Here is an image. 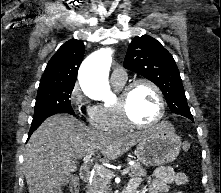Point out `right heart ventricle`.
Wrapping results in <instances>:
<instances>
[{
  "instance_id": "obj_1",
  "label": "right heart ventricle",
  "mask_w": 221,
  "mask_h": 193,
  "mask_svg": "<svg viewBox=\"0 0 221 193\" xmlns=\"http://www.w3.org/2000/svg\"><path fill=\"white\" fill-rule=\"evenodd\" d=\"M124 84L125 82H112V85L117 92H120ZM89 119L95 128L104 131L123 132L128 128L121 119L116 103L99 104L94 106Z\"/></svg>"
}]
</instances>
